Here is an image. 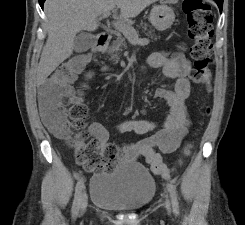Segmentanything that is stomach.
Segmentation results:
<instances>
[{"label":"stomach","instance_id":"obj_1","mask_svg":"<svg viewBox=\"0 0 245 225\" xmlns=\"http://www.w3.org/2000/svg\"><path fill=\"white\" fill-rule=\"evenodd\" d=\"M149 21L158 31L169 29L175 21V14L166 4L156 5L152 8Z\"/></svg>","mask_w":245,"mask_h":225}]
</instances>
